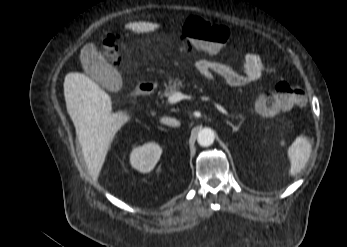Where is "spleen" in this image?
<instances>
[{
    "label": "spleen",
    "instance_id": "spleen-1",
    "mask_svg": "<svg viewBox=\"0 0 347 247\" xmlns=\"http://www.w3.org/2000/svg\"><path fill=\"white\" fill-rule=\"evenodd\" d=\"M311 154V144L303 136H299L288 149L291 163V174H297L305 165Z\"/></svg>",
    "mask_w": 347,
    "mask_h": 247
}]
</instances>
